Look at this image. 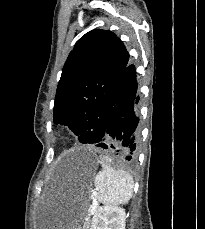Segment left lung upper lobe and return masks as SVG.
<instances>
[{"label":"left lung upper lobe","mask_w":205,"mask_h":229,"mask_svg":"<svg viewBox=\"0 0 205 229\" xmlns=\"http://www.w3.org/2000/svg\"><path fill=\"white\" fill-rule=\"evenodd\" d=\"M128 61L129 53L113 32L92 30L83 35L63 67L54 122L68 126L87 143V129L103 123L110 91Z\"/></svg>","instance_id":"left-lung-upper-lobe-1"}]
</instances>
